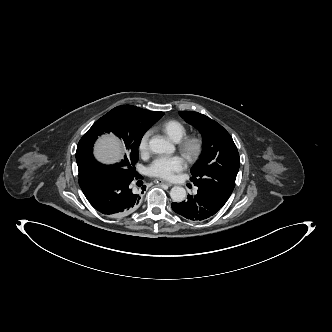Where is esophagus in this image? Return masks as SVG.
Returning a JSON list of instances; mask_svg holds the SVG:
<instances>
[{
	"label": "esophagus",
	"instance_id": "esophagus-1",
	"mask_svg": "<svg viewBox=\"0 0 332 332\" xmlns=\"http://www.w3.org/2000/svg\"><path fill=\"white\" fill-rule=\"evenodd\" d=\"M157 183H159V184H165L167 186H172V183H170L168 181H165V180H162V179H158Z\"/></svg>",
	"mask_w": 332,
	"mask_h": 332
}]
</instances>
